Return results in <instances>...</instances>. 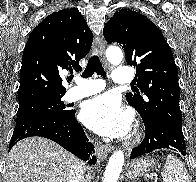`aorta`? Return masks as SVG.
<instances>
[{"label": "aorta", "instance_id": "aorta-1", "mask_svg": "<svg viewBox=\"0 0 196 182\" xmlns=\"http://www.w3.org/2000/svg\"><path fill=\"white\" fill-rule=\"evenodd\" d=\"M107 59L113 64H120L123 53L119 48H109L106 51ZM124 153L121 150L115 151L109 158L104 173V182H117L124 164Z\"/></svg>", "mask_w": 196, "mask_h": 182}]
</instances>
